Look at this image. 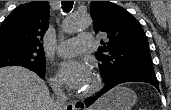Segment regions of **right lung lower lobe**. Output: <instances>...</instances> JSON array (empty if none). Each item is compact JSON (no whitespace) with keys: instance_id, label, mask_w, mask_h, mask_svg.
I'll return each instance as SVG.
<instances>
[{"instance_id":"obj_1","label":"right lung lower lobe","mask_w":171,"mask_h":110,"mask_svg":"<svg viewBox=\"0 0 171 110\" xmlns=\"http://www.w3.org/2000/svg\"><path fill=\"white\" fill-rule=\"evenodd\" d=\"M41 78H44V74L37 73Z\"/></svg>"}]
</instances>
